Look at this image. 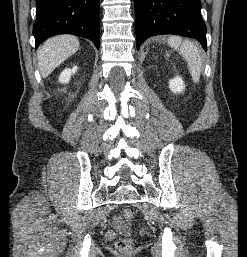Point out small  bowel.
<instances>
[{
	"label": "small bowel",
	"instance_id": "obj_1",
	"mask_svg": "<svg viewBox=\"0 0 247 257\" xmlns=\"http://www.w3.org/2000/svg\"><path fill=\"white\" fill-rule=\"evenodd\" d=\"M113 226L118 232H123L126 230L123 220L120 216H115L113 218Z\"/></svg>",
	"mask_w": 247,
	"mask_h": 257
}]
</instances>
